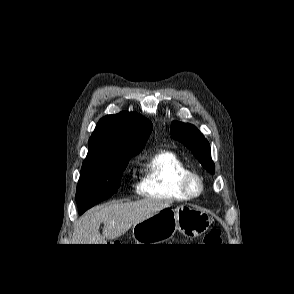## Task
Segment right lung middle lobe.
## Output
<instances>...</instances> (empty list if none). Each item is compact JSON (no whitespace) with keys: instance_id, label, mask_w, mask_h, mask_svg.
Here are the masks:
<instances>
[{"instance_id":"dd1d6c3e","label":"right lung middle lobe","mask_w":294,"mask_h":294,"mask_svg":"<svg viewBox=\"0 0 294 294\" xmlns=\"http://www.w3.org/2000/svg\"><path fill=\"white\" fill-rule=\"evenodd\" d=\"M130 155L122 152L88 153L76 190L79 211H86L117 192Z\"/></svg>"}]
</instances>
